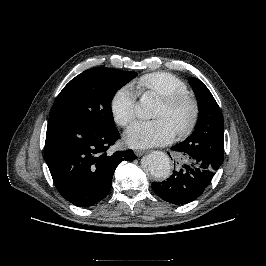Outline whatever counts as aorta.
Instances as JSON below:
<instances>
[{
  "instance_id": "aorta-1",
  "label": "aorta",
  "mask_w": 266,
  "mask_h": 266,
  "mask_svg": "<svg viewBox=\"0 0 266 266\" xmlns=\"http://www.w3.org/2000/svg\"><path fill=\"white\" fill-rule=\"evenodd\" d=\"M153 99L147 96L142 97L135 107L137 117L148 119L153 113ZM145 165L152 176L165 178L169 175L171 165L169 157L162 151H153L145 158Z\"/></svg>"
}]
</instances>
